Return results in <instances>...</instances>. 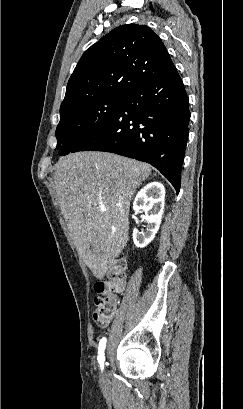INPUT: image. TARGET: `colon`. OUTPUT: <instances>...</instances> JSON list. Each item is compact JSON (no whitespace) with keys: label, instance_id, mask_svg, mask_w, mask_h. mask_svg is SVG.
Masks as SVG:
<instances>
[{"label":"colon","instance_id":"1","mask_svg":"<svg viewBox=\"0 0 243 409\" xmlns=\"http://www.w3.org/2000/svg\"><path fill=\"white\" fill-rule=\"evenodd\" d=\"M109 279L97 282L94 290L97 294L95 298V309L93 318L96 324L105 326L110 323L116 312L115 295L124 288L126 261L119 257L112 261L109 266Z\"/></svg>","mask_w":243,"mask_h":409}]
</instances>
